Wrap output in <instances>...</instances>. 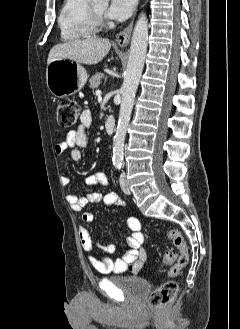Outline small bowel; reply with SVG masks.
<instances>
[{"label":"small bowel","mask_w":240,"mask_h":329,"mask_svg":"<svg viewBox=\"0 0 240 329\" xmlns=\"http://www.w3.org/2000/svg\"><path fill=\"white\" fill-rule=\"evenodd\" d=\"M91 123V111L89 109L83 110L80 115L79 126L77 129L70 131L66 135L63 142L55 145V154L60 157L69 149L71 159L76 162L80 161L82 159V152L80 148L85 147L88 143L87 130ZM69 181L68 176L63 175L61 177V183L63 185H68ZM85 184L86 186H106L108 185V177L104 171H99L87 177ZM67 201L74 211L81 212V220L84 223H90L93 220V214L84 210L87 204L103 201L107 205H126L125 201L115 193H109L105 196L99 192H90L86 195L69 194L67 195ZM126 223L131 235L127 237L125 241V254L116 260H112L106 256H98L94 253L95 247H98L105 253L112 254L116 251L114 244L94 242L87 228L83 225L79 227V240L87 255V261L98 272L107 274L110 272L122 273L129 271L136 275L142 269L144 263L146 262L147 255L145 250L141 248L144 242V235L141 231V223L137 218L132 216L127 218Z\"/></svg>","instance_id":"c3829d8e"}]
</instances>
